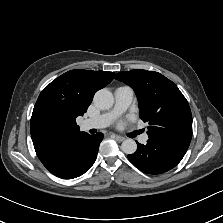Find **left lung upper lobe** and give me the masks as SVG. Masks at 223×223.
Returning <instances> with one entry per match:
<instances>
[{
    "mask_svg": "<svg viewBox=\"0 0 223 223\" xmlns=\"http://www.w3.org/2000/svg\"><path fill=\"white\" fill-rule=\"evenodd\" d=\"M116 79L136 92L140 118L149 124V139L187 151L192 138V115L178 87L162 74L147 70L119 72Z\"/></svg>",
    "mask_w": 223,
    "mask_h": 223,
    "instance_id": "5c2ea615",
    "label": "left lung upper lobe"
}]
</instances>
